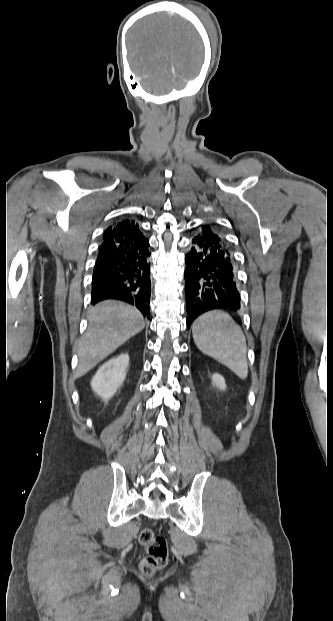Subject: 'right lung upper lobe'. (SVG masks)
<instances>
[{"label":"right lung upper lobe","instance_id":"obj_1","mask_svg":"<svg viewBox=\"0 0 333 621\" xmlns=\"http://www.w3.org/2000/svg\"><path fill=\"white\" fill-rule=\"evenodd\" d=\"M109 241H115L127 247L148 245V240L143 236L138 224L129 219L114 223L105 230L102 242Z\"/></svg>","mask_w":333,"mask_h":621}]
</instances>
